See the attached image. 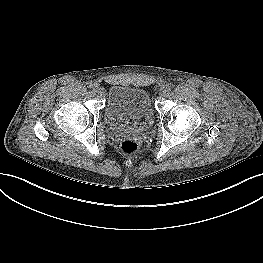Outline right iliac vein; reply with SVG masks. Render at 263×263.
Listing matches in <instances>:
<instances>
[{
    "instance_id": "63e3f726",
    "label": "right iliac vein",
    "mask_w": 263,
    "mask_h": 263,
    "mask_svg": "<svg viewBox=\"0 0 263 263\" xmlns=\"http://www.w3.org/2000/svg\"><path fill=\"white\" fill-rule=\"evenodd\" d=\"M95 91L102 94L104 90L103 88L96 86Z\"/></svg>"
}]
</instances>
